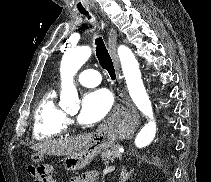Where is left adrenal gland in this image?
<instances>
[{
    "label": "left adrenal gland",
    "mask_w": 211,
    "mask_h": 182,
    "mask_svg": "<svg viewBox=\"0 0 211 182\" xmlns=\"http://www.w3.org/2000/svg\"><path fill=\"white\" fill-rule=\"evenodd\" d=\"M132 171L133 170H131L130 172H127L126 168L123 167L121 174H120V177H119V182H125L128 179L129 175L132 173Z\"/></svg>",
    "instance_id": "a2214340"
}]
</instances>
